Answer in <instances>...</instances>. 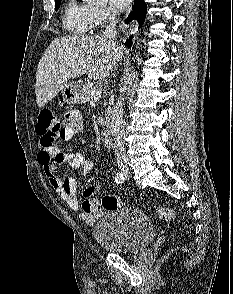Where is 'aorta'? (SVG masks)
Masks as SVG:
<instances>
[{
    "instance_id": "aorta-1",
    "label": "aorta",
    "mask_w": 233,
    "mask_h": 294,
    "mask_svg": "<svg viewBox=\"0 0 233 294\" xmlns=\"http://www.w3.org/2000/svg\"><path fill=\"white\" fill-rule=\"evenodd\" d=\"M108 0H86L88 4L91 5H104ZM122 91H124V87L120 88V95L116 101L114 106L111 122H110V134L112 136H116L119 130L123 127V113H124V97L122 95Z\"/></svg>"
}]
</instances>
